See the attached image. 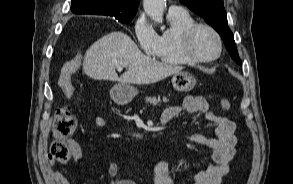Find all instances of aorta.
Listing matches in <instances>:
<instances>
[{
  "label": "aorta",
  "mask_w": 293,
  "mask_h": 184,
  "mask_svg": "<svg viewBox=\"0 0 293 184\" xmlns=\"http://www.w3.org/2000/svg\"><path fill=\"white\" fill-rule=\"evenodd\" d=\"M166 0H143L145 13L155 22L161 23Z\"/></svg>",
  "instance_id": "762f6f07"
}]
</instances>
